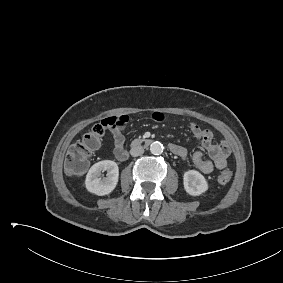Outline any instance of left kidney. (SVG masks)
Masks as SVG:
<instances>
[{
	"label": "left kidney",
	"instance_id": "1",
	"mask_svg": "<svg viewBox=\"0 0 283 283\" xmlns=\"http://www.w3.org/2000/svg\"><path fill=\"white\" fill-rule=\"evenodd\" d=\"M183 184L185 191L192 196H199L208 190L206 179L196 170H188L184 173Z\"/></svg>",
	"mask_w": 283,
	"mask_h": 283
}]
</instances>
